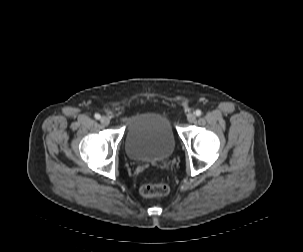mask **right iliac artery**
Instances as JSON below:
<instances>
[{"mask_svg":"<svg viewBox=\"0 0 303 252\" xmlns=\"http://www.w3.org/2000/svg\"><path fill=\"white\" fill-rule=\"evenodd\" d=\"M95 118H96V119H100V118H101L100 114L96 113V114H95Z\"/></svg>","mask_w":303,"mask_h":252,"instance_id":"1","label":"right iliac artery"}]
</instances>
